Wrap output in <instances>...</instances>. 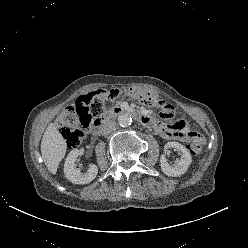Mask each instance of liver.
Masks as SVG:
<instances>
[{
  "mask_svg": "<svg viewBox=\"0 0 248 248\" xmlns=\"http://www.w3.org/2000/svg\"><path fill=\"white\" fill-rule=\"evenodd\" d=\"M67 144L54 124H49L41 140V154L50 173L56 174L66 154Z\"/></svg>",
  "mask_w": 248,
  "mask_h": 248,
  "instance_id": "obj_1",
  "label": "liver"
}]
</instances>
